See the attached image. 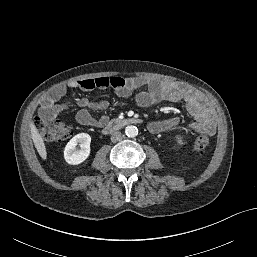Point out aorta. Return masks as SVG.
I'll return each mask as SVG.
<instances>
[{"label":"aorta","instance_id":"762f6f07","mask_svg":"<svg viewBox=\"0 0 257 257\" xmlns=\"http://www.w3.org/2000/svg\"><path fill=\"white\" fill-rule=\"evenodd\" d=\"M125 133L128 137H135L138 135V128L133 125H129L125 128Z\"/></svg>","mask_w":257,"mask_h":257}]
</instances>
